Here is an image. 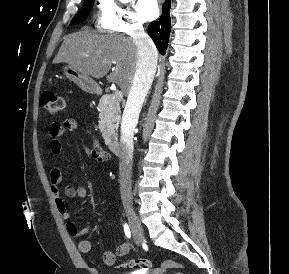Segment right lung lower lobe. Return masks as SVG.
I'll return each instance as SVG.
<instances>
[{
	"mask_svg": "<svg viewBox=\"0 0 289 274\" xmlns=\"http://www.w3.org/2000/svg\"><path fill=\"white\" fill-rule=\"evenodd\" d=\"M170 4L171 0H165L159 21L151 22L148 26V34L162 55L165 54L170 35Z\"/></svg>",
	"mask_w": 289,
	"mask_h": 274,
	"instance_id": "98d812e1",
	"label": "right lung lower lobe"
}]
</instances>
